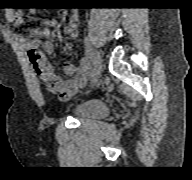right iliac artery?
<instances>
[{"mask_svg":"<svg viewBox=\"0 0 192 180\" xmlns=\"http://www.w3.org/2000/svg\"><path fill=\"white\" fill-rule=\"evenodd\" d=\"M84 45H85V53H86L87 60L89 62V65L92 66L95 64V59H96L95 55L93 53V50L90 44L87 41L84 42Z\"/></svg>","mask_w":192,"mask_h":180,"instance_id":"obj_1","label":"right iliac artery"}]
</instances>
